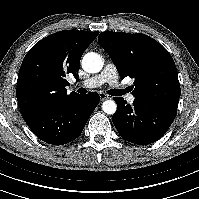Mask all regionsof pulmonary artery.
Instances as JSON below:
<instances>
[{"instance_id": "obj_1", "label": "pulmonary artery", "mask_w": 199, "mask_h": 199, "mask_svg": "<svg viewBox=\"0 0 199 199\" xmlns=\"http://www.w3.org/2000/svg\"><path fill=\"white\" fill-rule=\"evenodd\" d=\"M103 84H109L115 87L117 90H120L124 94L127 93V90L122 88L121 84L118 81L117 69L113 64H106L104 69L99 74H96L95 76H92L91 78L84 81L75 83V86L81 88H95L100 87ZM126 100L128 101V103H134L136 98L133 94H128L126 96Z\"/></svg>"}]
</instances>
